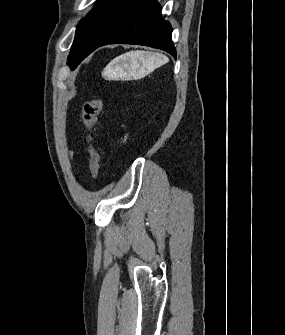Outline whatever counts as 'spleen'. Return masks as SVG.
<instances>
[{
    "instance_id": "3e777b00",
    "label": "spleen",
    "mask_w": 285,
    "mask_h": 335,
    "mask_svg": "<svg viewBox=\"0 0 285 335\" xmlns=\"http://www.w3.org/2000/svg\"><path fill=\"white\" fill-rule=\"evenodd\" d=\"M130 60L132 70H138V68H160L169 62L167 56H162V54H150V52H129L125 54L123 60Z\"/></svg>"
}]
</instances>
